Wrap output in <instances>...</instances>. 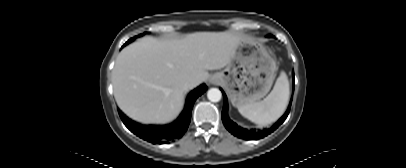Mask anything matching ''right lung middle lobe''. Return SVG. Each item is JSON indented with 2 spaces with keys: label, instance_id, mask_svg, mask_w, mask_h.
<instances>
[{
  "label": "right lung middle lobe",
  "instance_id": "right-lung-middle-lobe-1",
  "mask_svg": "<svg viewBox=\"0 0 406 168\" xmlns=\"http://www.w3.org/2000/svg\"><path fill=\"white\" fill-rule=\"evenodd\" d=\"M136 38V37H135ZM135 38H131L130 40H128V42H126V44H128L129 42L133 41Z\"/></svg>",
  "mask_w": 406,
  "mask_h": 168
}]
</instances>
